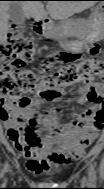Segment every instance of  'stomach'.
<instances>
[{
  "label": "stomach",
  "mask_w": 104,
  "mask_h": 189,
  "mask_svg": "<svg viewBox=\"0 0 104 189\" xmlns=\"http://www.w3.org/2000/svg\"><path fill=\"white\" fill-rule=\"evenodd\" d=\"M102 3H99L88 19L77 22L62 23L59 27L48 28L44 35L57 40H64L69 36H76L77 39L65 43V47L74 49L75 46L81 45L87 38L92 37L103 24Z\"/></svg>",
  "instance_id": "1"
}]
</instances>
